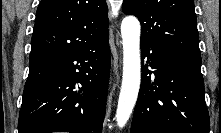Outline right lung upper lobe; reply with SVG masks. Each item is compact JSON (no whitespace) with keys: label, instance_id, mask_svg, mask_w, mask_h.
Returning <instances> with one entry per match:
<instances>
[{"label":"right lung upper lobe","instance_id":"cb5924a9","mask_svg":"<svg viewBox=\"0 0 221 133\" xmlns=\"http://www.w3.org/2000/svg\"><path fill=\"white\" fill-rule=\"evenodd\" d=\"M106 0H41L29 60L74 52L108 33Z\"/></svg>","mask_w":221,"mask_h":133}]
</instances>
